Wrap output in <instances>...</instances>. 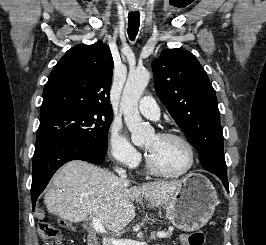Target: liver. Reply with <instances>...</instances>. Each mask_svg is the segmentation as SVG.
Returning <instances> with one entry per match:
<instances>
[{
	"mask_svg": "<svg viewBox=\"0 0 266 245\" xmlns=\"http://www.w3.org/2000/svg\"><path fill=\"white\" fill-rule=\"evenodd\" d=\"M182 187V181L146 183L131 187L126 179H119L110 171L90 165L86 161H71L55 173L44 197V205L51 215L64 221L81 223L93 215L109 231H122L136 217L133 201L156 207L171 199Z\"/></svg>",
	"mask_w": 266,
	"mask_h": 245,
	"instance_id": "obj_1",
	"label": "liver"
}]
</instances>
